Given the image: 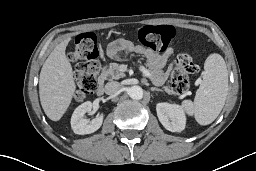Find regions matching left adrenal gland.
I'll list each match as a JSON object with an SVG mask.
<instances>
[{
  "mask_svg": "<svg viewBox=\"0 0 256 171\" xmlns=\"http://www.w3.org/2000/svg\"><path fill=\"white\" fill-rule=\"evenodd\" d=\"M151 90H152V91H160V92H162V90H161V89L156 88V87H151Z\"/></svg>",
  "mask_w": 256,
  "mask_h": 171,
  "instance_id": "left-adrenal-gland-1",
  "label": "left adrenal gland"
}]
</instances>
